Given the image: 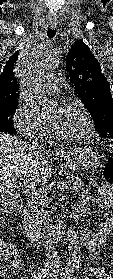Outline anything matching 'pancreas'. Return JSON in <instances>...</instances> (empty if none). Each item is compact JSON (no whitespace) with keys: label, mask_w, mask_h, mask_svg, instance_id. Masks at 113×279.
<instances>
[{"label":"pancreas","mask_w":113,"mask_h":279,"mask_svg":"<svg viewBox=\"0 0 113 279\" xmlns=\"http://www.w3.org/2000/svg\"><path fill=\"white\" fill-rule=\"evenodd\" d=\"M68 179L73 185V190L76 192L82 190L83 182L80 177L74 174H68ZM48 201L49 198L44 190H41L39 195L31 197L29 206L32 209L33 222L35 225H42L48 222L49 215L47 210H44V207H48Z\"/></svg>","instance_id":"cf45deb5"}]
</instances>
